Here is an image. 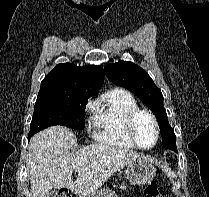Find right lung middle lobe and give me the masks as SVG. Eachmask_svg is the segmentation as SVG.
I'll return each instance as SVG.
<instances>
[{
    "label": "right lung middle lobe",
    "mask_w": 209,
    "mask_h": 197,
    "mask_svg": "<svg viewBox=\"0 0 209 197\" xmlns=\"http://www.w3.org/2000/svg\"><path fill=\"white\" fill-rule=\"evenodd\" d=\"M94 92L76 85L41 84L29 134L52 125L84 129V112Z\"/></svg>",
    "instance_id": "obj_1"
}]
</instances>
